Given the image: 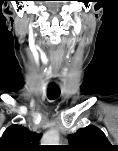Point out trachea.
Returning a JSON list of instances; mask_svg holds the SVG:
<instances>
[{
  "label": "trachea",
  "mask_w": 118,
  "mask_h": 151,
  "mask_svg": "<svg viewBox=\"0 0 118 151\" xmlns=\"http://www.w3.org/2000/svg\"><path fill=\"white\" fill-rule=\"evenodd\" d=\"M56 96H57V95H55V94H53V95H48V98H49L50 100H53Z\"/></svg>",
  "instance_id": "obj_1"
}]
</instances>
